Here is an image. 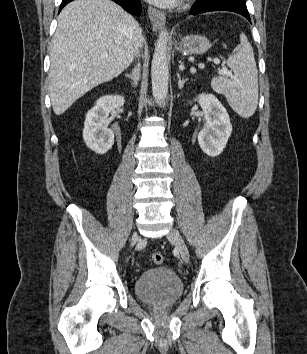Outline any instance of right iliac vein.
<instances>
[{"label": "right iliac vein", "instance_id": "right-iliac-vein-1", "mask_svg": "<svg viewBox=\"0 0 307 354\" xmlns=\"http://www.w3.org/2000/svg\"><path fill=\"white\" fill-rule=\"evenodd\" d=\"M139 240V235L134 232L131 239V246H133Z\"/></svg>", "mask_w": 307, "mask_h": 354}]
</instances>
